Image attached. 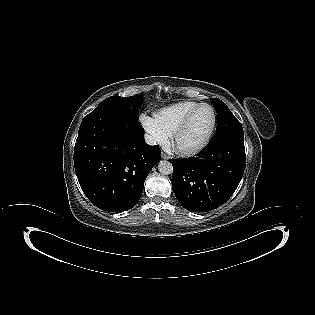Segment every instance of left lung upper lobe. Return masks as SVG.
<instances>
[{
	"mask_svg": "<svg viewBox=\"0 0 315 315\" xmlns=\"http://www.w3.org/2000/svg\"><path fill=\"white\" fill-rule=\"evenodd\" d=\"M211 102L217 112V127L210 143L225 137L244 139L241 123L231 113L226 104L218 98H212Z\"/></svg>",
	"mask_w": 315,
	"mask_h": 315,
	"instance_id": "1",
	"label": "left lung upper lobe"
}]
</instances>
